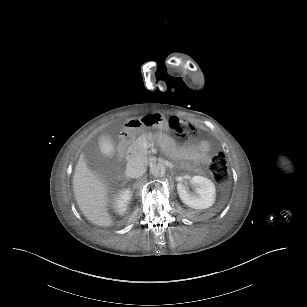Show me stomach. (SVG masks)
I'll list each match as a JSON object with an SVG mask.
<instances>
[{"label": "stomach", "instance_id": "0dacf381", "mask_svg": "<svg viewBox=\"0 0 307 307\" xmlns=\"http://www.w3.org/2000/svg\"><path fill=\"white\" fill-rule=\"evenodd\" d=\"M129 129L134 133H142L147 129L168 130V121L161 114L133 118L128 122Z\"/></svg>", "mask_w": 307, "mask_h": 307}]
</instances>
